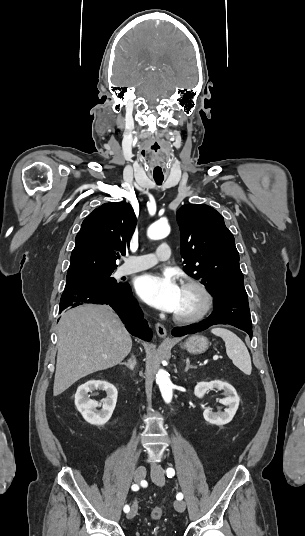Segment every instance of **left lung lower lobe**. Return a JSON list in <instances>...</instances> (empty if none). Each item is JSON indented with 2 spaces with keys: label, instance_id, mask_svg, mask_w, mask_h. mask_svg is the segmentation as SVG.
<instances>
[{
  "label": "left lung lower lobe",
  "instance_id": "1",
  "mask_svg": "<svg viewBox=\"0 0 305 536\" xmlns=\"http://www.w3.org/2000/svg\"><path fill=\"white\" fill-rule=\"evenodd\" d=\"M216 324H229L246 331L252 338V322L247 295H225L214 298V311L204 321L176 327L172 330L173 336L193 334Z\"/></svg>",
  "mask_w": 305,
  "mask_h": 536
}]
</instances>
